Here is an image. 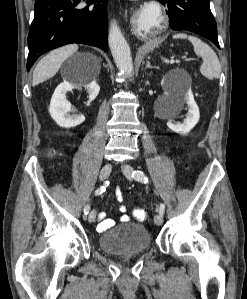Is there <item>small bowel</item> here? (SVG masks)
I'll use <instances>...</instances> for the list:
<instances>
[{
  "mask_svg": "<svg viewBox=\"0 0 247 299\" xmlns=\"http://www.w3.org/2000/svg\"><path fill=\"white\" fill-rule=\"evenodd\" d=\"M115 198L119 202H121L123 200V196H119V193L117 191L115 193ZM119 211L124 213L126 211V207L123 205L119 206ZM98 220H99V223L97 226V230L99 232H103L115 225V221L113 219L107 218L106 214L104 212H100L98 214ZM120 220L125 222V221L129 220V217L126 215H122Z\"/></svg>",
  "mask_w": 247,
  "mask_h": 299,
  "instance_id": "c3829d8e",
  "label": "small bowel"
}]
</instances>
